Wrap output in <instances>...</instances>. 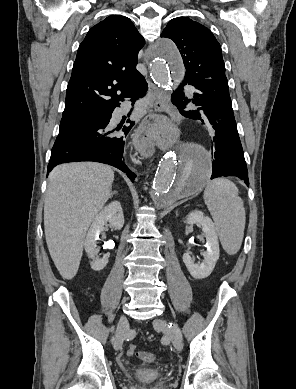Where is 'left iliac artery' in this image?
Instances as JSON below:
<instances>
[{"label": "left iliac artery", "instance_id": "1", "mask_svg": "<svg viewBox=\"0 0 296 389\" xmlns=\"http://www.w3.org/2000/svg\"><path fill=\"white\" fill-rule=\"evenodd\" d=\"M169 327L172 328V329H174V330L176 331V333L182 338L181 331H180V329L178 328L177 325H175V324L172 325V323H170V324H169Z\"/></svg>", "mask_w": 296, "mask_h": 389}]
</instances>
